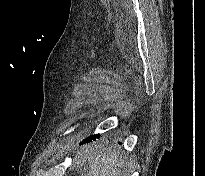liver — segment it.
Segmentation results:
<instances>
[{"label":"liver","instance_id":"liver-1","mask_svg":"<svg viewBox=\"0 0 205 176\" xmlns=\"http://www.w3.org/2000/svg\"><path fill=\"white\" fill-rule=\"evenodd\" d=\"M78 158L85 172L80 176H122V162L116 152H97L88 146L78 152Z\"/></svg>","mask_w":205,"mask_h":176}]
</instances>
